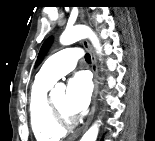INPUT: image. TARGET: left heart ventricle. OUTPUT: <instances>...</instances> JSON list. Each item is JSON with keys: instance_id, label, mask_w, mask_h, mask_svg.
<instances>
[{"instance_id": "obj_1", "label": "left heart ventricle", "mask_w": 155, "mask_h": 141, "mask_svg": "<svg viewBox=\"0 0 155 141\" xmlns=\"http://www.w3.org/2000/svg\"><path fill=\"white\" fill-rule=\"evenodd\" d=\"M55 106L65 115H70L65 106V94L63 92L56 93L52 96Z\"/></svg>"}]
</instances>
